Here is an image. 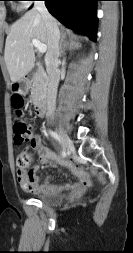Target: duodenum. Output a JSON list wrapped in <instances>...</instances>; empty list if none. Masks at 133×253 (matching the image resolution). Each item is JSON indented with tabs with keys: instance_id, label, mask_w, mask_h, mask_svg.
I'll list each match as a JSON object with an SVG mask.
<instances>
[{
	"instance_id": "obj_1",
	"label": "duodenum",
	"mask_w": 133,
	"mask_h": 253,
	"mask_svg": "<svg viewBox=\"0 0 133 253\" xmlns=\"http://www.w3.org/2000/svg\"><path fill=\"white\" fill-rule=\"evenodd\" d=\"M31 76L29 73L25 74L23 77V83L25 85L29 84ZM47 110V101L45 98H39L35 103V113L39 117H43L46 114Z\"/></svg>"
}]
</instances>
